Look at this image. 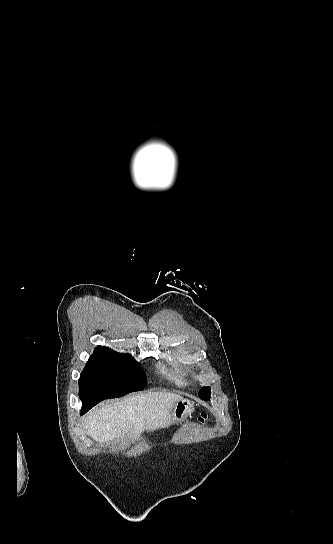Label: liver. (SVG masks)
I'll return each mask as SVG.
<instances>
[{"label": "liver", "instance_id": "obj_1", "mask_svg": "<svg viewBox=\"0 0 333 544\" xmlns=\"http://www.w3.org/2000/svg\"><path fill=\"white\" fill-rule=\"evenodd\" d=\"M182 399L170 392L131 396L88 413L84 428L99 443L139 437L144 430L168 427L175 404Z\"/></svg>", "mask_w": 333, "mask_h": 544}]
</instances>
